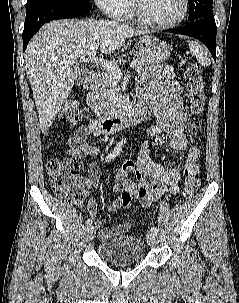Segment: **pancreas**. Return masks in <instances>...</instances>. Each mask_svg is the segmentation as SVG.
Segmentation results:
<instances>
[{
  "mask_svg": "<svg viewBox=\"0 0 239 303\" xmlns=\"http://www.w3.org/2000/svg\"><path fill=\"white\" fill-rule=\"evenodd\" d=\"M133 54L135 56L134 60L142 63L141 66L136 67L139 73L148 76L155 75L168 81L174 79L175 74L173 72L172 66L154 63L138 52H133ZM121 62L122 59L119 58L114 62V65L119 67ZM116 98H118L119 102L122 101L119 80L114 79L109 72L105 71L102 73L97 83L95 92L92 93L90 107L98 116L102 114L113 113L116 111Z\"/></svg>",
  "mask_w": 239,
  "mask_h": 303,
  "instance_id": "obj_1",
  "label": "pancreas"
}]
</instances>
